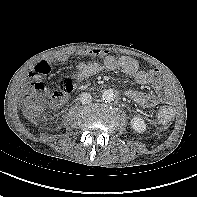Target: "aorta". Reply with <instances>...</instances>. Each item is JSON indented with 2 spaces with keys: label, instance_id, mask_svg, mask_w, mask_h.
Masks as SVG:
<instances>
[{
  "label": "aorta",
  "instance_id": "aorta-1",
  "mask_svg": "<svg viewBox=\"0 0 197 197\" xmlns=\"http://www.w3.org/2000/svg\"><path fill=\"white\" fill-rule=\"evenodd\" d=\"M115 98L114 92L111 89L104 90L102 94V99L105 102H112Z\"/></svg>",
  "mask_w": 197,
  "mask_h": 197
}]
</instances>
